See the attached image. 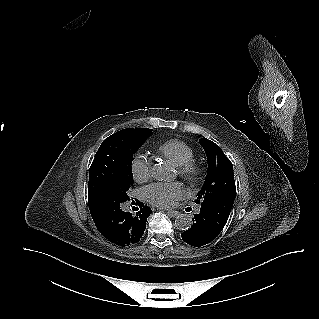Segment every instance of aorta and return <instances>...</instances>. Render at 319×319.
I'll return each instance as SVG.
<instances>
[{
  "label": "aorta",
  "mask_w": 319,
  "mask_h": 319,
  "mask_svg": "<svg viewBox=\"0 0 319 319\" xmlns=\"http://www.w3.org/2000/svg\"><path fill=\"white\" fill-rule=\"evenodd\" d=\"M151 176L157 181H163L168 178L167 168L162 164H155L151 170ZM175 226L179 230H188L192 226V219L187 214H180L175 219Z\"/></svg>",
  "instance_id": "aorta-1"
}]
</instances>
